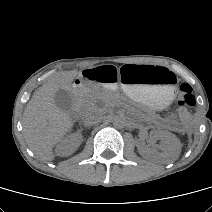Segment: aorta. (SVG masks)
I'll list each match as a JSON object with an SVG mask.
<instances>
[{"label":"aorta","instance_id":"obj_1","mask_svg":"<svg viewBox=\"0 0 212 212\" xmlns=\"http://www.w3.org/2000/svg\"><path fill=\"white\" fill-rule=\"evenodd\" d=\"M112 123L115 128H123L126 125V119L122 115H116L114 116Z\"/></svg>","mask_w":212,"mask_h":212}]
</instances>
